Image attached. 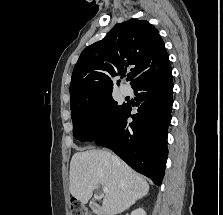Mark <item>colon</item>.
I'll return each mask as SVG.
<instances>
[{
	"label": "colon",
	"mask_w": 223,
	"mask_h": 215,
	"mask_svg": "<svg viewBox=\"0 0 223 215\" xmlns=\"http://www.w3.org/2000/svg\"><path fill=\"white\" fill-rule=\"evenodd\" d=\"M70 208H71L70 215H92L88 207L76 201H73L71 203Z\"/></svg>",
	"instance_id": "5ec220e1"
}]
</instances>
